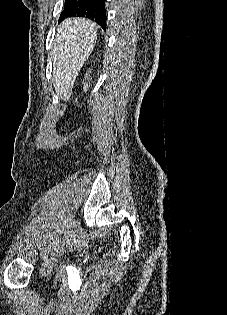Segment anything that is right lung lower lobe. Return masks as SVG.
<instances>
[{
  "instance_id": "1",
  "label": "right lung lower lobe",
  "mask_w": 227,
  "mask_h": 315,
  "mask_svg": "<svg viewBox=\"0 0 227 315\" xmlns=\"http://www.w3.org/2000/svg\"><path fill=\"white\" fill-rule=\"evenodd\" d=\"M68 17H85L106 29L105 0H65L59 22Z\"/></svg>"
}]
</instances>
